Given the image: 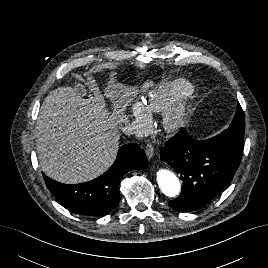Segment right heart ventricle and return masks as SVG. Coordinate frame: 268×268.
I'll use <instances>...</instances> for the list:
<instances>
[{
    "label": "right heart ventricle",
    "mask_w": 268,
    "mask_h": 268,
    "mask_svg": "<svg viewBox=\"0 0 268 268\" xmlns=\"http://www.w3.org/2000/svg\"><path fill=\"white\" fill-rule=\"evenodd\" d=\"M192 85L185 79H177L165 85L152 88L144 99L150 113H163L187 91Z\"/></svg>",
    "instance_id": "e07e8e85"
}]
</instances>
